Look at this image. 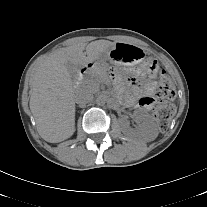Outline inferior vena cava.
<instances>
[{"mask_svg": "<svg viewBox=\"0 0 207 207\" xmlns=\"http://www.w3.org/2000/svg\"><path fill=\"white\" fill-rule=\"evenodd\" d=\"M93 93L88 89H80L76 92L75 102L80 106H85L86 104L93 101Z\"/></svg>", "mask_w": 207, "mask_h": 207, "instance_id": "602c4592", "label": "inferior vena cava"}]
</instances>
